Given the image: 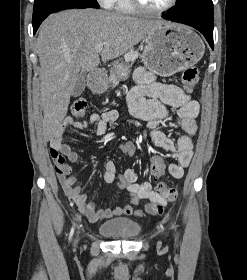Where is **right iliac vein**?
Segmentation results:
<instances>
[{
  "label": "right iliac vein",
  "mask_w": 247,
  "mask_h": 280,
  "mask_svg": "<svg viewBox=\"0 0 247 280\" xmlns=\"http://www.w3.org/2000/svg\"><path fill=\"white\" fill-rule=\"evenodd\" d=\"M78 243V238L75 240V245Z\"/></svg>",
  "instance_id": "obj_1"
}]
</instances>
